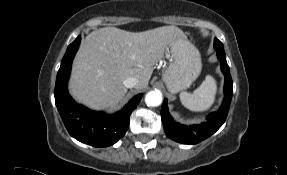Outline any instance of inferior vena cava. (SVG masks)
<instances>
[{
	"instance_id": "602c4592",
	"label": "inferior vena cava",
	"mask_w": 287,
	"mask_h": 175,
	"mask_svg": "<svg viewBox=\"0 0 287 175\" xmlns=\"http://www.w3.org/2000/svg\"><path fill=\"white\" fill-rule=\"evenodd\" d=\"M123 84L127 88H133L138 86L139 80L136 77H128L123 81Z\"/></svg>"
}]
</instances>
